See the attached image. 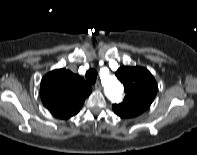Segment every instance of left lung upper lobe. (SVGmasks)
I'll return each mask as SVG.
<instances>
[{
    "label": "left lung upper lobe",
    "instance_id": "1",
    "mask_svg": "<svg viewBox=\"0 0 197 155\" xmlns=\"http://www.w3.org/2000/svg\"><path fill=\"white\" fill-rule=\"evenodd\" d=\"M115 75L123 83L126 96L122 103L113 104L115 114L132 118L149 108L157 93V83L143 67H120Z\"/></svg>",
    "mask_w": 197,
    "mask_h": 155
}]
</instances>
